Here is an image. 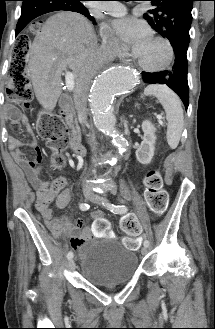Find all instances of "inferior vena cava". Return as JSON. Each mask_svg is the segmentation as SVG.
Instances as JSON below:
<instances>
[{"label":"inferior vena cava","instance_id":"602c4592","mask_svg":"<svg viewBox=\"0 0 215 329\" xmlns=\"http://www.w3.org/2000/svg\"><path fill=\"white\" fill-rule=\"evenodd\" d=\"M111 56L112 52L110 47H108L107 45H102L101 47L93 51L88 63L95 62L97 65L102 66L104 61L110 59ZM90 82L91 77L88 74H85L81 81H79L74 91V103L77 110L78 119L83 126L87 118V97ZM89 144L92 147V150H94L96 147V142L90 141Z\"/></svg>","mask_w":215,"mask_h":329}]
</instances>
